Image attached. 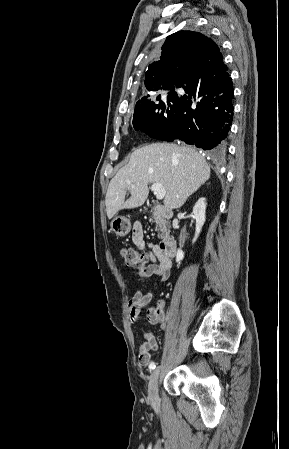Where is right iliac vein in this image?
Wrapping results in <instances>:
<instances>
[{
    "mask_svg": "<svg viewBox=\"0 0 289 449\" xmlns=\"http://www.w3.org/2000/svg\"><path fill=\"white\" fill-rule=\"evenodd\" d=\"M161 372V367H157L150 376L149 386H148V397L153 403L158 400V380Z\"/></svg>",
    "mask_w": 289,
    "mask_h": 449,
    "instance_id": "1",
    "label": "right iliac vein"
}]
</instances>
